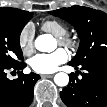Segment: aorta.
<instances>
[{
    "instance_id": "1",
    "label": "aorta",
    "mask_w": 107,
    "mask_h": 107,
    "mask_svg": "<svg viewBox=\"0 0 107 107\" xmlns=\"http://www.w3.org/2000/svg\"><path fill=\"white\" fill-rule=\"evenodd\" d=\"M35 48L40 52H52L56 48V41L50 34L40 35L35 40ZM54 82L57 86H67L69 83V76L66 73H57L54 77Z\"/></svg>"
}]
</instances>
